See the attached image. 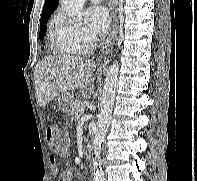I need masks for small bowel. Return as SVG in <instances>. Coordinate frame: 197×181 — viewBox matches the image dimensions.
<instances>
[{"label": "small bowel", "instance_id": "c3829d8e", "mask_svg": "<svg viewBox=\"0 0 197 181\" xmlns=\"http://www.w3.org/2000/svg\"><path fill=\"white\" fill-rule=\"evenodd\" d=\"M68 143H65L61 148V156L65 157L68 152ZM52 165V174L56 175L58 171H61V181H74V173L73 171L65 166L62 162H57L54 157L50 158Z\"/></svg>", "mask_w": 197, "mask_h": 181}]
</instances>
